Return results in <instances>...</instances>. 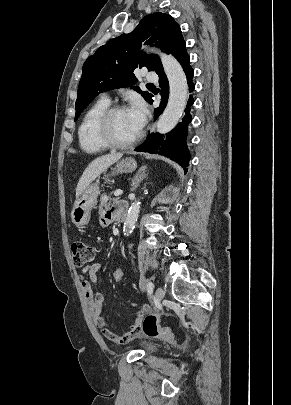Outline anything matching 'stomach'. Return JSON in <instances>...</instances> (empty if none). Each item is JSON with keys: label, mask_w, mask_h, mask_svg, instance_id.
Masks as SVG:
<instances>
[{"label": "stomach", "mask_w": 291, "mask_h": 405, "mask_svg": "<svg viewBox=\"0 0 291 405\" xmlns=\"http://www.w3.org/2000/svg\"><path fill=\"white\" fill-rule=\"evenodd\" d=\"M137 167L132 158H125L119 161L114 169L115 173H131ZM114 174V172L112 173ZM100 194L98 183L89 184L85 190L76 198L71 212L72 222L76 226L87 225L90 221L91 211L97 203Z\"/></svg>", "instance_id": "1"}]
</instances>
